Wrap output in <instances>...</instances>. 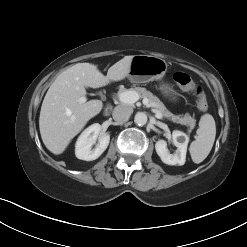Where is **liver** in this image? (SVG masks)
<instances>
[{
    "instance_id": "1",
    "label": "liver",
    "mask_w": 247,
    "mask_h": 247,
    "mask_svg": "<svg viewBox=\"0 0 247 247\" xmlns=\"http://www.w3.org/2000/svg\"><path fill=\"white\" fill-rule=\"evenodd\" d=\"M132 58L125 56L116 62L108 69L107 76L94 64L77 63L56 78L44 97L39 117L41 138L49 151L62 154L87 122L102 110L100 100L78 102L86 96V88H99L125 79Z\"/></svg>"
}]
</instances>
